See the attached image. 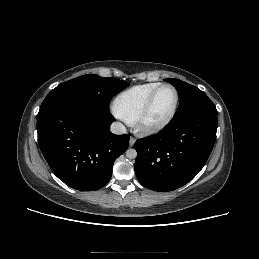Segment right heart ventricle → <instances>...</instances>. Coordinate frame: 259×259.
Returning a JSON list of instances; mask_svg holds the SVG:
<instances>
[{
	"label": "right heart ventricle",
	"instance_id": "e07e8e85",
	"mask_svg": "<svg viewBox=\"0 0 259 259\" xmlns=\"http://www.w3.org/2000/svg\"><path fill=\"white\" fill-rule=\"evenodd\" d=\"M150 82L130 87L121 92L115 99L116 113L128 123H134L144 108L151 93L160 85Z\"/></svg>",
	"mask_w": 259,
	"mask_h": 259
}]
</instances>
